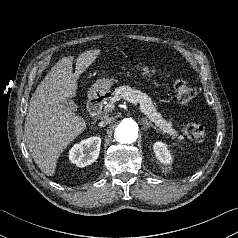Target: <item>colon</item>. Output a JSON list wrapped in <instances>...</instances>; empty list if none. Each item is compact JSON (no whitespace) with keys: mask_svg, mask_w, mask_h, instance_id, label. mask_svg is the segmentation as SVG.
<instances>
[{"mask_svg":"<svg viewBox=\"0 0 238 238\" xmlns=\"http://www.w3.org/2000/svg\"><path fill=\"white\" fill-rule=\"evenodd\" d=\"M136 71H140L147 75H153L154 70L149 69L147 67H143L137 65L135 67ZM174 93L176 99L181 104H188L190 103L196 96L195 89L184 81H177L174 84ZM182 131L186 137L195 141V142H202L205 136L204 127L198 123H187L183 126Z\"/></svg>","mask_w":238,"mask_h":238,"instance_id":"1","label":"colon"}]
</instances>
